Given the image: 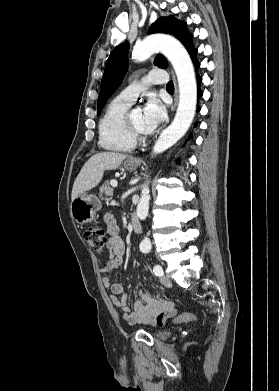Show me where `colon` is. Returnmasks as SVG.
<instances>
[{
	"mask_svg": "<svg viewBox=\"0 0 279 391\" xmlns=\"http://www.w3.org/2000/svg\"><path fill=\"white\" fill-rule=\"evenodd\" d=\"M84 239L95 252L101 253L106 246L107 233L101 227H89L84 231ZM194 320H196V317L191 313H183L176 317V321L180 322H192Z\"/></svg>",
	"mask_w": 279,
	"mask_h": 391,
	"instance_id": "1",
	"label": "colon"
}]
</instances>
